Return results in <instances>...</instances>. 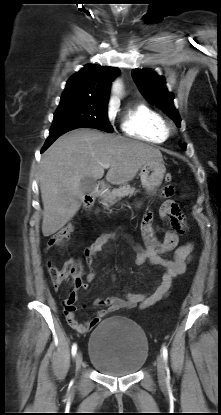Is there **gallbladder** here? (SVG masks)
Wrapping results in <instances>:
<instances>
[{"instance_id": "obj_1", "label": "gallbladder", "mask_w": 221, "mask_h": 415, "mask_svg": "<svg viewBox=\"0 0 221 415\" xmlns=\"http://www.w3.org/2000/svg\"><path fill=\"white\" fill-rule=\"evenodd\" d=\"M96 185H97V181H96L95 178L86 176V177L82 178L81 181H80V190L84 194L90 193L91 191L94 190Z\"/></svg>"}]
</instances>
